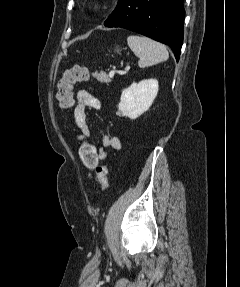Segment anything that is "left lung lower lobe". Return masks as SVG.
Wrapping results in <instances>:
<instances>
[{"label": "left lung lower lobe", "mask_w": 240, "mask_h": 287, "mask_svg": "<svg viewBox=\"0 0 240 287\" xmlns=\"http://www.w3.org/2000/svg\"><path fill=\"white\" fill-rule=\"evenodd\" d=\"M184 18L183 0H118L104 25L135 31L167 44L178 61Z\"/></svg>", "instance_id": "obj_1"}]
</instances>
